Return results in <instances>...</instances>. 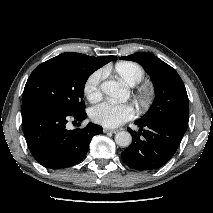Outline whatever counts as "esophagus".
I'll return each instance as SVG.
<instances>
[{"mask_svg": "<svg viewBox=\"0 0 213 213\" xmlns=\"http://www.w3.org/2000/svg\"><path fill=\"white\" fill-rule=\"evenodd\" d=\"M103 131H104V133H117L119 130L104 128Z\"/></svg>", "mask_w": 213, "mask_h": 213, "instance_id": "1", "label": "esophagus"}]
</instances>
